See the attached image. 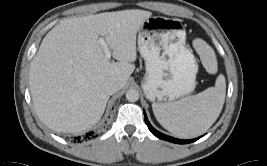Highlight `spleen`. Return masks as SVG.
Masks as SVG:
<instances>
[{
  "label": "spleen",
  "mask_w": 267,
  "mask_h": 166,
  "mask_svg": "<svg viewBox=\"0 0 267 166\" xmlns=\"http://www.w3.org/2000/svg\"><path fill=\"white\" fill-rule=\"evenodd\" d=\"M202 57L214 53L208 47L199 50ZM226 82L223 75L216 79L215 86L201 93L175 102L153 103L152 109L160 125L179 137H193L206 132L217 120L225 101Z\"/></svg>",
  "instance_id": "1"
}]
</instances>
